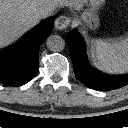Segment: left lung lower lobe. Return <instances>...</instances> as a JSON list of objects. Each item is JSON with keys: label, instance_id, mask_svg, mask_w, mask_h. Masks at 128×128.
Listing matches in <instances>:
<instances>
[{"label": "left lung lower lobe", "instance_id": "obj_1", "mask_svg": "<svg viewBox=\"0 0 128 128\" xmlns=\"http://www.w3.org/2000/svg\"><path fill=\"white\" fill-rule=\"evenodd\" d=\"M70 56L76 78L89 88L108 91L128 85V76L117 79L103 78L99 71L88 66L83 59L82 39L75 30L67 34Z\"/></svg>", "mask_w": 128, "mask_h": 128}]
</instances>
